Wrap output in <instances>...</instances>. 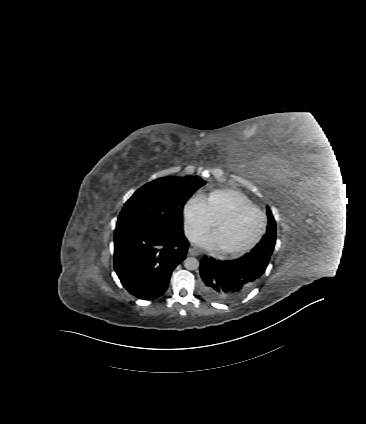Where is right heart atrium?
<instances>
[{
  "label": "right heart atrium",
  "mask_w": 366,
  "mask_h": 424,
  "mask_svg": "<svg viewBox=\"0 0 366 424\" xmlns=\"http://www.w3.org/2000/svg\"><path fill=\"white\" fill-rule=\"evenodd\" d=\"M182 221L185 235L189 241H195L208 233L211 228V221L200 196H191L184 203Z\"/></svg>",
  "instance_id": "1"
}]
</instances>
